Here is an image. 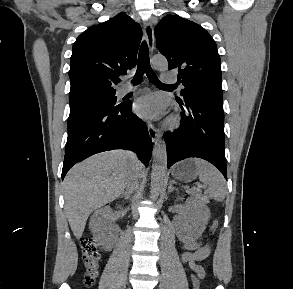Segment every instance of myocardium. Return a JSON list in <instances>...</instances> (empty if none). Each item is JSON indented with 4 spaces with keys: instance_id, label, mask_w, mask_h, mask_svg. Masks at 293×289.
Segmentation results:
<instances>
[{
    "instance_id": "1",
    "label": "myocardium",
    "mask_w": 293,
    "mask_h": 289,
    "mask_svg": "<svg viewBox=\"0 0 293 289\" xmlns=\"http://www.w3.org/2000/svg\"><path fill=\"white\" fill-rule=\"evenodd\" d=\"M179 125V120L178 118L174 117L168 122V127L171 129L176 128Z\"/></svg>"
}]
</instances>
